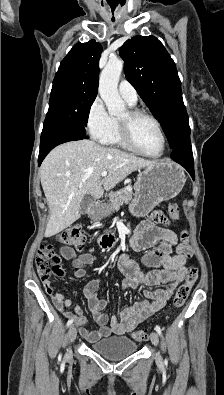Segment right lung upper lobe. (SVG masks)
<instances>
[{
	"label": "right lung upper lobe",
	"instance_id": "1",
	"mask_svg": "<svg viewBox=\"0 0 224 395\" xmlns=\"http://www.w3.org/2000/svg\"><path fill=\"white\" fill-rule=\"evenodd\" d=\"M101 52L102 46L95 40L75 44L60 63L54 81L97 91Z\"/></svg>",
	"mask_w": 224,
	"mask_h": 395
}]
</instances>
